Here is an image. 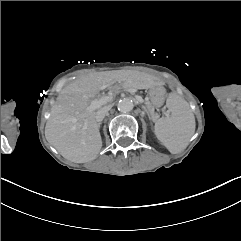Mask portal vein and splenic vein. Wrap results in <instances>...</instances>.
Returning <instances> with one entry per match:
<instances>
[{
    "mask_svg": "<svg viewBox=\"0 0 241 241\" xmlns=\"http://www.w3.org/2000/svg\"><path fill=\"white\" fill-rule=\"evenodd\" d=\"M115 89H116V88H113V90H115ZM134 95H135V94H134ZM134 97L137 98L138 96L135 95ZM110 100H113V97H112V96H111V97H102V98L99 99V100H98V99H94V100L91 102V108H92V109H98V108H100L103 104L109 102ZM137 101H138L139 103L144 102L141 97H138V98H137Z\"/></svg>",
    "mask_w": 241,
    "mask_h": 241,
    "instance_id": "obj_1",
    "label": "portal vein and splenic vein"
}]
</instances>
